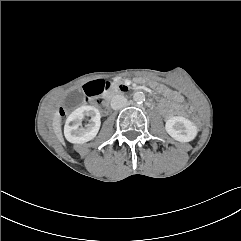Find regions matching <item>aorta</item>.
Masks as SVG:
<instances>
[{
	"mask_svg": "<svg viewBox=\"0 0 241 241\" xmlns=\"http://www.w3.org/2000/svg\"><path fill=\"white\" fill-rule=\"evenodd\" d=\"M133 100L137 103H141L145 100V95L143 92H135L133 95Z\"/></svg>",
	"mask_w": 241,
	"mask_h": 241,
	"instance_id": "762f6f07",
	"label": "aorta"
}]
</instances>
